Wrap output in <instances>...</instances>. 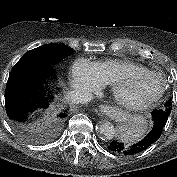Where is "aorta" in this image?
Segmentation results:
<instances>
[{
	"label": "aorta",
	"instance_id": "1",
	"mask_svg": "<svg viewBox=\"0 0 177 177\" xmlns=\"http://www.w3.org/2000/svg\"><path fill=\"white\" fill-rule=\"evenodd\" d=\"M99 134L101 138L111 140L116 135V129L111 122L105 121L99 125Z\"/></svg>",
	"mask_w": 177,
	"mask_h": 177
}]
</instances>
